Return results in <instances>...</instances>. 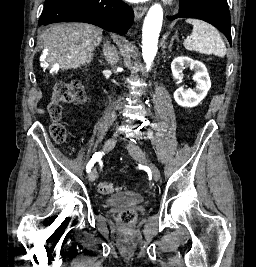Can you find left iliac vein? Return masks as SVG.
I'll return each mask as SVG.
<instances>
[{
  "mask_svg": "<svg viewBox=\"0 0 256 267\" xmlns=\"http://www.w3.org/2000/svg\"><path fill=\"white\" fill-rule=\"evenodd\" d=\"M127 150L135 160H137L141 163H144V164H149L154 180L155 181L160 180L161 176H160L159 169L157 168V166L154 163L150 162L146 158L145 154L142 152V150L139 147H137L135 145H129V146H127Z\"/></svg>",
  "mask_w": 256,
  "mask_h": 267,
  "instance_id": "1",
  "label": "left iliac vein"
}]
</instances>
